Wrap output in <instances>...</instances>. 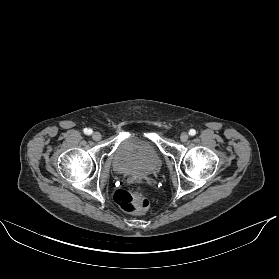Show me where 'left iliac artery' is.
Returning <instances> with one entry per match:
<instances>
[{"mask_svg":"<svg viewBox=\"0 0 279 279\" xmlns=\"http://www.w3.org/2000/svg\"><path fill=\"white\" fill-rule=\"evenodd\" d=\"M195 134H196V130L191 129V130L189 131V135H190V136H194Z\"/></svg>","mask_w":279,"mask_h":279,"instance_id":"left-iliac-artery-1","label":"left iliac artery"}]
</instances>
